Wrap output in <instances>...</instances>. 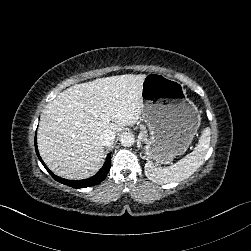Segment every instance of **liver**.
Returning <instances> with one entry per match:
<instances>
[{
  "label": "liver",
  "instance_id": "6515ba94",
  "mask_svg": "<svg viewBox=\"0 0 251 251\" xmlns=\"http://www.w3.org/2000/svg\"><path fill=\"white\" fill-rule=\"evenodd\" d=\"M145 74H125L75 84L45 107L37 143L41 158L56 175L85 179L105 155L101 135L134 125L142 112Z\"/></svg>",
  "mask_w": 251,
  "mask_h": 251
}]
</instances>
